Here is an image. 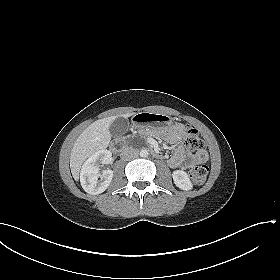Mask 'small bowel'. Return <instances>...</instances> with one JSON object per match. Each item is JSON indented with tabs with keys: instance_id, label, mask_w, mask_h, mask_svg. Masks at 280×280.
I'll use <instances>...</instances> for the list:
<instances>
[{
	"instance_id": "1",
	"label": "small bowel",
	"mask_w": 280,
	"mask_h": 280,
	"mask_svg": "<svg viewBox=\"0 0 280 280\" xmlns=\"http://www.w3.org/2000/svg\"><path fill=\"white\" fill-rule=\"evenodd\" d=\"M184 126L182 124L175 125L167 133V140L176 146L175 153L169 158L168 164L172 168H188L194 164H201L207 161L208 155L205 150H201L195 154L187 152L183 142Z\"/></svg>"
}]
</instances>
